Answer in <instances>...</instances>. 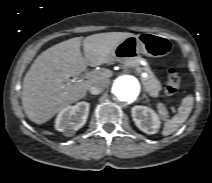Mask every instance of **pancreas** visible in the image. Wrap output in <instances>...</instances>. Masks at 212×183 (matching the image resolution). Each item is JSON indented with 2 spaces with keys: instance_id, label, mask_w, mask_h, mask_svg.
Instances as JSON below:
<instances>
[{
  "instance_id": "obj_1",
  "label": "pancreas",
  "mask_w": 212,
  "mask_h": 183,
  "mask_svg": "<svg viewBox=\"0 0 212 183\" xmlns=\"http://www.w3.org/2000/svg\"><path fill=\"white\" fill-rule=\"evenodd\" d=\"M143 60V58L141 57H135L134 59H131L127 62H125V66L127 67H134L137 70L141 71L142 68H140V62ZM145 70V72L147 73V77L141 78V82L144 86V90L153 98L158 97L159 96V92L162 89L161 87V83L159 82V80L154 76V74L152 73V71L150 70V68L148 66H146L145 68H143Z\"/></svg>"
}]
</instances>
